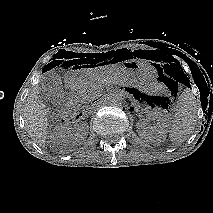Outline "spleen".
Instances as JSON below:
<instances>
[{"instance_id":"3e777b00","label":"spleen","mask_w":213,"mask_h":213,"mask_svg":"<svg viewBox=\"0 0 213 213\" xmlns=\"http://www.w3.org/2000/svg\"><path fill=\"white\" fill-rule=\"evenodd\" d=\"M199 101L194 94L185 89L177 102V111L170 126L169 138L174 144L181 143L193 133L197 125Z\"/></svg>"}]
</instances>
